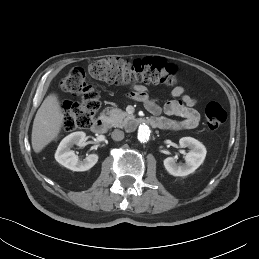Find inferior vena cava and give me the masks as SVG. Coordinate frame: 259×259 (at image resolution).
Returning a JSON list of instances; mask_svg holds the SVG:
<instances>
[{
	"mask_svg": "<svg viewBox=\"0 0 259 259\" xmlns=\"http://www.w3.org/2000/svg\"><path fill=\"white\" fill-rule=\"evenodd\" d=\"M111 137L113 140L115 141H121L124 138V132L118 129H115L112 134Z\"/></svg>",
	"mask_w": 259,
	"mask_h": 259,
	"instance_id": "1",
	"label": "inferior vena cava"
}]
</instances>
